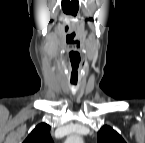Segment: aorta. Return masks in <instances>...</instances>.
Segmentation results:
<instances>
[{
  "mask_svg": "<svg viewBox=\"0 0 145 143\" xmlns=\"http://www.w3.org/2000/svg\"><path fill=\"white\" fill-rule=\"evenodd\" d=\"M82 141L80 136L73 135L67 138V143H80Z\"/></svg>",
  "mask_w": 145,
  "mask_h": 143,
  "instance_id": "762f6f07",
  "label": "aorta"
}]
</instances>
